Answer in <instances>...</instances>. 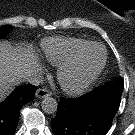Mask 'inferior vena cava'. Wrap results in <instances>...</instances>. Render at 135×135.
<instances>
[{
  "instance_id": "obj_1",
  "label": "inferior vena cava",
  "mask_w": 135,
  "mask_h": 135,
  "mask_svg": "<svg viewBox=\"0 0 135 135\" xmlns=\"http://www.w3.org/2000/svg\"><path fill=\"white\" fill-rule=\"evenodd\" d=\"M24 78L33 85H39L40 80H41V76L40 73H38L37 70L35 69H29L25 72L24 74Z\"/></svg>"
}]
</instances>
